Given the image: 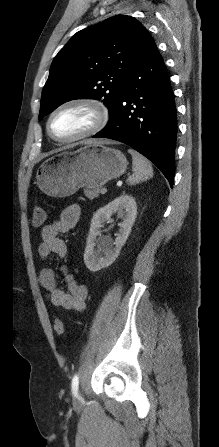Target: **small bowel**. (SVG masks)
Returning a JSON list of instances; mask_svg holds the SVG:
<instances>
[{"instance_id":"obj_1","label":"small bowel","mask_w":219,"mask_h":447,"mask_svg":"<svg viewBox=\"0 0 219 447\" xmlns=\"http://www.w3.org/2000/svg\"><path fill=\"white\" fill-rule=\"evenodd\" d=\"M79 217L80 206L78 204H71L61 211L58 219L45 225L41 229V242L38 247L41 260L44 261L51 254H55L58 257L66 256L67 245L59 235L73 229ZM61 272L67 286V291L57 287L54 270L48 265L42 264L38 281L42 289L46 292L47 298L55 307L74 312L84 311L88 296V286L78 283L66 267H62Z\"/></svg>"}]
</instances>
